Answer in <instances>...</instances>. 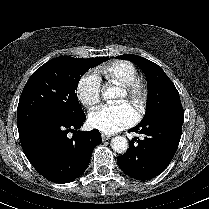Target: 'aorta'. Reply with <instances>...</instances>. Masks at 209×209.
<instances>
[{
	"label": "aorta",
	"instance_id": "aorta-1",
	"mask_svg": "<svg viewBox=\"0 0 209 209\" xmlns=\"http://www.w3.org/2000/svg\"><path fill=\"white\" fill-rule=\"evenodd\" d=\"M120 95H121V90L115 86L107 87L102 92L103 98L107 100L116 99L120 97ZM111 147L117 153H124L127 151L129 144L125 137L116 136L111 140Z\"/></svg>",
	"mask_w": 209,
	"mask_h": 209
}]
</instances>
